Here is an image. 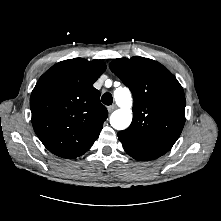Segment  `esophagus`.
Masks as SVG:
<instances>
[{
    "label": "esophagus",
    "instance_id": "esophagus-1",
    "mask_svg": "<svg viewBox=\"0 0 221 221\" xmlns=\"http://www.w3.org/2000/svg\"><path fill=\"white\" fill-rule=\"evenodd\" d=\"M116 108H117V106H116L115 104L110 105V106L107 107V109H108V111H109L110 113L113 112Z\"/></svg>",
    "mask_w": 221,
    "mask_h": 221
}]
</instances>
